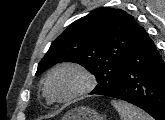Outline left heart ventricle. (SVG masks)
Instances as JSON below:
<instances>
[{
  "instance_id": "left-heart-ventricle-1",
  "label": "left heart ventricle",
  "mask_w": 165,
  "mask_h": 120,
  "mask_svg": "<svg viewBox=\"0 0 165 120\" xmlns=\"http://www.w3.org/2000/svg\"><path fill=\"white\" fill-rule=\"evenodd\" d=\"M83 84L80 75L71 70L58 72L50 82L52 93L58 98H64L77 91Z\"/></svg>"
}]
</instances>
